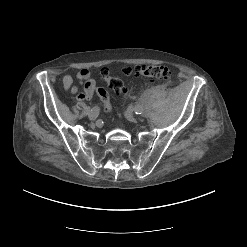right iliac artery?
I'll return each instance as SVG.
<instances>
[{"label": "right iliac artery", "instance_id": "obj_1", "mask_svg": "<svg viewBox=\"0 0 247 247\" xmlns=\"http://www.w3.org/2000/svg\"><path fill=\"white\" fill-rule=\"evenodd\" d=\"M93 108H97L98 109V114H99V107L98 106H95V107H93ZM92 109V108H91ZM91 109L88 107L87 108V110L89 111V112H91ZM98 116V115H97Z\"/></svg>", "mask_w": 247, "mask_h": 247}]
</instances>
